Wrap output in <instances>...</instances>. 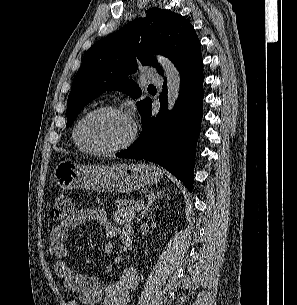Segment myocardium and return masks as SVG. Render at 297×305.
I'll list each match as a JSON object with an SVG mask.
<instances>
[{
    "mask_svg": "<svg viewBox=\"0 0 297 305\" xmlns=\"http://www.w3.org/2000/svg\"><path fill=\"white\" fill-rule=\"evenodd\" d=\"M99 113H114L118 115H122L130 123V133L128 137L120 144L112 147H92L84 144L82 138H81V126L83 122L88 119L89 117L99 114ZM138 134V125L131 114L130 111L114 105H108V106H101L97 107L93 110H90L86 114H84L76 123L74 128V140L77 144V146L84 152L91 153V154H102V155H108V154H114L121 152L128 147H130L136 140Z\"/></svg>",
    "mask_w": 297,
    "mask_h": 305,
    "instance_id": "myocardium-1",
    "label": "myocardium"
}]
</instances>
